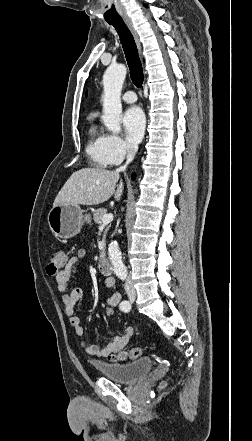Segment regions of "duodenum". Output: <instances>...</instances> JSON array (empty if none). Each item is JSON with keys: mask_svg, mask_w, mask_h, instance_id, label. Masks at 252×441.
I'll list each match as a JSON object with an SVG mask.
<instances>
[{"mask_svg": "<svg viewBox=\"0 0 252 441\" xmlns=\"http://www.w3.org/2000/svg\"><path fill=\"white\" fill-rule=\"evenodd\" d=\"M99 269L102 273L106 275H111L112 266L106 256H101L98 262Z\"/></svg>", "mask_w": 252, "mask_h": 441, "instance_id": "obj_1", "label": "duodenum"}]
</instances>
